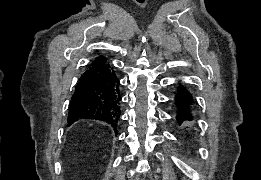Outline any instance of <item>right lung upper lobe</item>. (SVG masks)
I'll return each mask as SVG.
<instances>
[{
	"instance_id": "right-lung-upper-lobe-1",
	"label": "right lung upper lobe",
	"mask_w": 261,
	"mask_h": 180,
	"mask_svg": "<svg viewBox=\"0 0 261 180\" xmlns=\"http://www.w3.org/2000/svg\"><path fill=\"white\" fill-rule=\"evenodd\" d=\"M106 59L104 58V57H97L93 62H92V64H94V63H98V62H103V61H105Z\"/></svg>"
}]
</instances>
